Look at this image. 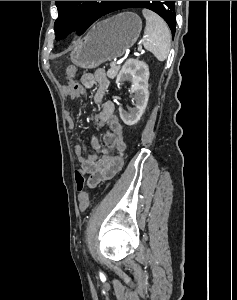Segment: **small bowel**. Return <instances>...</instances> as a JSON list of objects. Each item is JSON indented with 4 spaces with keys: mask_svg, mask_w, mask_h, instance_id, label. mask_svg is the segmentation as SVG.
<instances>
[{
    "mask_svg": "<svg viewBox=\"0 0 237 300\" xmlns=\"http://www.w3.org/2000/svg\"><path fill=\"white\" fill-rule=\"evenodd\" d=\"M75 76L73 74L72 78ZM81 88L76 90L70 84L62 87L64 96L75 99L78 98L85 88L98 86L93 100L101 106V111L95 116V121L99 126L105 128V134L101 141L97 137H91L89 144L92 148L87 156H84L82 146L75 148L76 155L81 163L80 171L88 174V186L94 188L97 185L113 178L123 166V152L125 150V131L118 117L115 115V105L112 101L106 100V93L110 82L103 68L97 69L93 73H86L81 78ZM68 127H74L70 112H67ZM88 199L80 200V211L84 212L88 208Z\"/></svg>",
    "mask_w": 237,
    "mask_h": 300,
    "instance_id": "small-bowel-1",
    "label": "small bowel"
}]
</instances>
